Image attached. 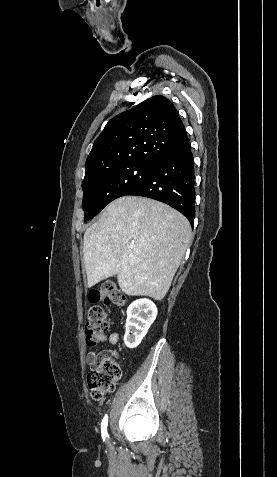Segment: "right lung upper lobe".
Returning <instances> with one entry per match:
<instances>
[{
    "mask_svg": "<svg viewBox=\"0 0 277 477\" xmlns=\"http://www.w3.org/2000/svg\"><path fill=\"white\" fill-rule=\"evenodd\" d=\"M189 141L179 114L156 95L112 118L93 144L86 172L131 162L156 163Z\"/></svg>",
    "mask_w": 277,
    "mask_h": 477,
    "instance_id": "obj_1",
    "label": "right lung upper lobe"
}]
</instances>
